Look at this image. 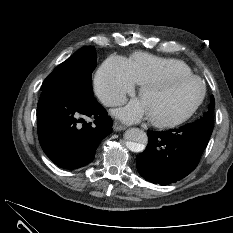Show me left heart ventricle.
<instances>
[{"mask_svg": "<svg viewBox=\"0 0 233 233\" xmlns=\"http://www.w3.org/2000/svg\"><path fill=\"white\" fill-rule=\"evenodd\" d=\"M200 86L194 80H184L157 89H148L140 97L147 116L169 121L184 115L196 102Z\"/></svg>", "mask_w": 233, "mask_h": 233, "instance_id": "left-heart-ventricle-1", "label": "left heart ventricle"}]
</instances>
